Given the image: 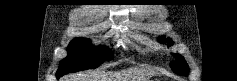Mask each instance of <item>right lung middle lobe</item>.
Wrapping results in <instances>:
<instances>
[{
	"mask_svg": "<svg viewBox=\"0 0 237 81\" xmlns=\"http://www.w3.org/2000/svg\"><path fill=\"white\" fill-rule=\"evenodd\" d=\"M90 41L85 38H76L68 46L69 55L57 70V77L66 73L94 69L105 61L113 58L107 48L94 47L89 49Z\"/></svg>",
	"mask_w": 237,
	"mask_h": 81,
	"instance_id": "right-lung-middle-lobe-1",
	"label": "right lung middle lobe"
}]
</instances>
